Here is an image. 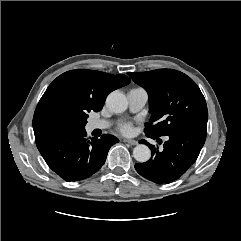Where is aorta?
Here are the masks:
<instances>
[{"mask_svg":"<svg viewBox=\"0 0 241 241\" xmlns=\"http://www.w3.org/2000/svg\"><path fill=\"white\" fill-rule=\"evenodd\" d=\"M106 105L114 113H122L127 109L128 102L124 94L114 91L106 99ZM151 151L148 146L139 144L133 149V157L138 162H146L150 159Z\"/></svg>","mask_w":241,"mask_h":241,"instance_id":"762f6f07","label":"aorta"}]
</instances>
